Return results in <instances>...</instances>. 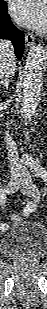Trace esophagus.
I'll list each match as a JSON object with an SVG mask.
<instances>
[{
	"label": "esophagus",
	"mask_w": 47,
	"mask_h": 309,
	"mask_svg": "<svg viewBox=\"0 0 47 309\" xmlns=\"http://www.w3.org/2000/svg\"><path fill=\"white\" fill-rule=\"evenodd\" d=\"M34 36L32 33H26L25 34V45L27 48L32 47L34 44Z\"/></svg>",
	"instance_id": "obj_1"
}]
</instances>
